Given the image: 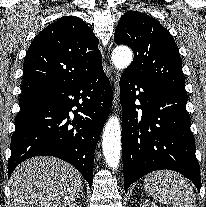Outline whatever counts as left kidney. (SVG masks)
<instances>
[{
    "mask_svg": "<svg viewBox=\"0 0 206 207\" xmlns=\"http://www.w3.org/2000/svg\"><path fill=\"white\" fill-rule=\"evenodd\" d=\"M141 207H158L154 202L150 200H144Z\"/></svg>",
    "mask_w": 206,
    "mask_h": 207,
    "instance_id": "1",
    "label": "left kidney"
}]
</instances>
